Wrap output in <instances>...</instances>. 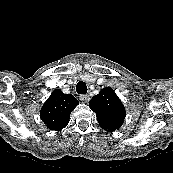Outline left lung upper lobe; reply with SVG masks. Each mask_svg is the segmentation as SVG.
Instances as JSON below:
<instances>
[{"instance_id":"left-lung-upper-lobe-1","label":"left lung upper lobe","mask_w":173,"mask_h":173,"mask_svg":"<svg viewBox=\"0 0 173 173\" xmlns=\"http://www.w3.org/2000/svg\"><path fill=\"white\" fill-rule=\"evenodd\" d=\"M89 107L96 113L100 126L108 132L118 130L126 116L122 102L110 87L95 95L90 100Z\"/></svg>"}]
</instances>
